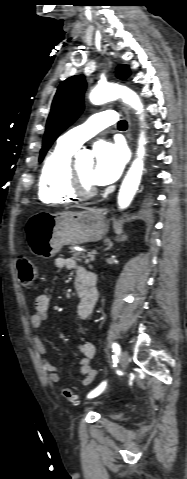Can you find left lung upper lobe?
I'll use <instances>...</instances> for the list:
<instances>
[{
  "mask_svg": "<svg viewBox=\"0 0 187 479\" xmlns=\"http://www.w3.org/2000/svg\"><path fill=\"white\" fill-rule=\"evenodd\" d=\"M117 71V77L122 80H125L130 75L127 65L118 66ZM85 90L86 81L84 76L81 75L66 79L58 87L47 120L39 161L43 160L44 155L60 133L70 126L82 113Z\"/></svg>",
  "mask_w": 187,
  "mask_h": 479,
  "instance_id": "obj_1",
  "label": "left lung upper lobe"
}]
</instances>
